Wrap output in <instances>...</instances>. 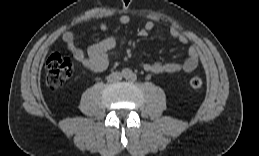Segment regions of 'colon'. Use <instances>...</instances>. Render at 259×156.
<instances>
[{
    "label": "colon",
    "instance_id": "colon-1",
    "mask_svg": "<svg viewBox=\"0 0 259 156\" xmlns=\"http://www.w3.org/2000/svg\"><path fill=\"white\" fill-rule=\"evenodd\" d=\"M75 71L72 60L58 52L50 53L44 62L46 84L51 89H58L73 76ZM204 80L200 76L190 79L188 87L190 90H197L202 87Z\"/></svg>",
    "mask_w": 259,
    "mask_h": 156
}]
</instances>
